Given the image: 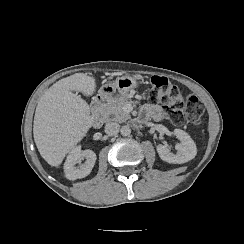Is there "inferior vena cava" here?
<instances>
[{
  "label": "inferior vena cava",
  "mask_w": 244,
  "mask_h": 244,
  "mask_svg": "<svg viewBox=\"0 0 244 244\" xmlns=\"http://www.w3.org/2000/svg\"><path fill=\"white\" fill-rule=\"evenodd\" d=\"M120 125L116 122L107 123L105 125V133L109 136H114L118 134Z\"/></svg>",
  "instance_id": "obj_1"
}]
</instances>
